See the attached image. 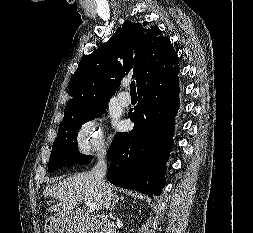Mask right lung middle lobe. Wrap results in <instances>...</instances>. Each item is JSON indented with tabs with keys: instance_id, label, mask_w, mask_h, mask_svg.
Segmentation results:
<instances>
[{
	"instance_id": "1",
	"label": "right lung middle lobe",
	"mask_w": 253,
	"mask_h": 233,
	"mask_svg": "<svg viewBox=\"0 0 253 233\" xmlns=\"http://www.w3.org/2000/svg\"><path fill=\"white\" fill-rule=\"evenodd\" d=\"M107 104L108 102H103L94 105L63 119L52 147L48 167L50 173L56 169L72 164H80L92 158V156L79 153L76 137L82 124L101 116L105 112Z\"/></svg>"
}]
</instances>
